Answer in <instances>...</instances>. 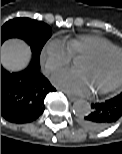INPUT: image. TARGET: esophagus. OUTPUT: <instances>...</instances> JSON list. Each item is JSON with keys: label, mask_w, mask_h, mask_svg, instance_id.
Returning a JSON list of instances; mask_svg holds the SVG:
<instances>
[{"label": "esophagus", "mask_w": 122, "mask_h": 154, "mask_svg": "<svg viewBox=\"0 0 122 154\" xmlns=\"http://www.w3.org/2000/svg\"><path fill=\"white\" fill-rule=\"evenodd\" d=\"M67 98L71 101V102H75L77 101L78 99L70 94H66Z\"/></svg>", "instance_id": "esophagus-1"}]
</instances>
